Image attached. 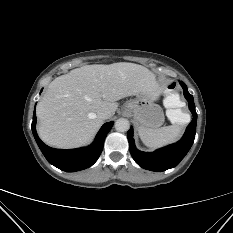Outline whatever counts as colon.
<instances>
[{
	"mask_svg": "<svg viewBox=\"0 0 233 233\" xmlns=\"http://www.w3.org/2000/svg\"><path fill=\"white\" fill-rule=\"evenodd\" d=\"M164 105L166 107L169 119L175 124H185L188 119V114L184 110L183 103L176 90V85L170 84L166 88V95L164 97Z\"/></svg>",
	"mask_w": 233,
	"mask_h": 233,
	"instance_id": "5ec220e1",
	"label": "colon"
}]
</instances>
